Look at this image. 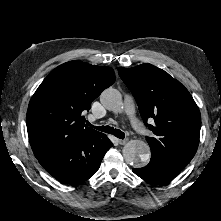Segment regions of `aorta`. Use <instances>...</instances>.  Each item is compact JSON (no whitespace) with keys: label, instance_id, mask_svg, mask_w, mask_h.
I'll use <instances>...</instances> for the list:
<instances>
[{"label":"aorta","instance_id":"1","mask_svg":"<svg viewBox=\"0 0 221 221\" xmlns=\"http://www.w3.org/2000/svg\"><path fill=\"white\" fill-rule=\"evenodd\" d=\"M100 102L110 111H119L122 107V96L114 88L105 89L100 95ZM123 157L128 164L141 167L150 158V147L143 141H129L122 150Z\"/></svg>","mask_w":221,"mask_h":221}]
</instances>
